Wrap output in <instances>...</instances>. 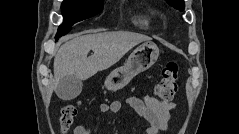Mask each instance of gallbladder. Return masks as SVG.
Returning <instances> with one entry per match:
<instances>
[{
    "instance_id": "gallbladder-1",
    "label": "gallbladder",
    "mask_w": 239,
    "mask_h": 134,
    "mask_svg": "<svg viewBox=\"0 0 239 134\" xmlns=\"http://www.w3.org/2000/svg\"><path fill=\"white\" fill-rule=\"evenodd\" d=\"M82 81L74 75L66 76L60 79L55 92L62 100H72L82 91Z\"/></svg>"
}]
</instances>
